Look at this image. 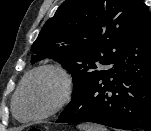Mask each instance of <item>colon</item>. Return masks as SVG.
Segmentation results:
<instances>
[{
    "label": "colon",
    "mask_w": 151,
    "mask_h": 131,
    "mask_svg": "<svg viewBox=\"0 0 151 131\" xmlns=\"http://www.w3.org/2000/svg\"><path fill=\"white\" fill-rule=\"evenodd\" d=\"M22 131H42V130L37 127H29V128L22 129Z\"/></svg>",
    "instance_id": "colon-1"
}]
</instances>
